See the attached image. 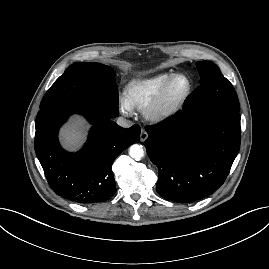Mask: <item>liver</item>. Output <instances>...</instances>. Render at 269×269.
I'll return each mask as SVG.
<instances>
[{
  "instance_id": "liver-1",
  "label": "liver",
  "mask_w": 269,
  "mask_h": 269,
  "mask_svg": "<svg viewBox=\"0 0 269 269\" xmlns=\"http://www.w3.org/2000/svg\"><path fill=\"white\" fill-rule=\"evenodd\" d=\"M86 129L87 126L81 118H74L70 125L61 130V140L64 146L72 150L77 149L85 138Z\"/></svg>"
}]
</instances>
